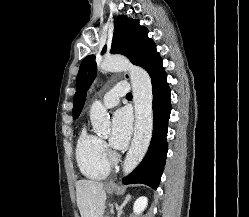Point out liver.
<instances>
[{"label": "liver", "mask_w": 249, "mask_h": 217, "mask_svg": "<svg viewBox=\"0 0 249 217\" xmlns=\"http://www.w3.org/2000/svg\"><path fill=\"white\" fill-rule=\"evenodd\" d=\"M76 195L81 217H103L106 192L102 182L79 180Z\"/></svg>", "instance_id": "1"}]
</instances>
